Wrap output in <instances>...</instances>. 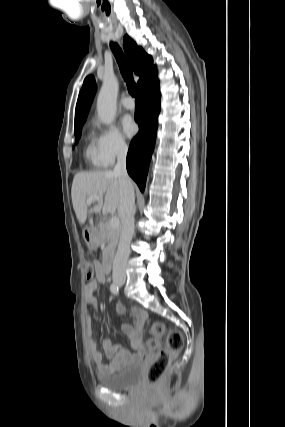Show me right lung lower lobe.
Returning <instances> with one entry per match:
<instances>
[{"label": "right lung lower lobe", "instance_id": "obj_1", "mask_svg": "<svg viewBox=\"0 0 285 427\" xmlns=\"http://www.w3.org/2000/svg\"><path fill=\"white\" fill-rule=\"evenodd\" d=\"M160 97L156 74L139 88V99L135 108V121L139 125V132L131 141L126 160L127 171L141 191L145 188L149 162L155 145Z\"/></svg>", "mask_w": 285, "mask_h": 427}]
</instances>
